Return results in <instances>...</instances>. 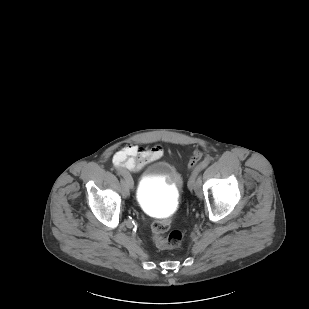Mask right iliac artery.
<instances>
[{"label":"right iliac artery","mask_w":309,"mask_h":309,"mask_svg":"<svg viewBox=\"0 0 309 309\" xmlns=\"http://www.w3.org/2000/svg\"><path fill=\"white\" fill-rule=\"evenodd\" d=\"M116 171L118 172V175H121L125 179H131L132 178V173L131 172H126V170H121L119 168H117ZM129 186L133 187L134 186V182L130 181L129 182Z\"/></svg>","instance_id":"1"}]
</instances>
